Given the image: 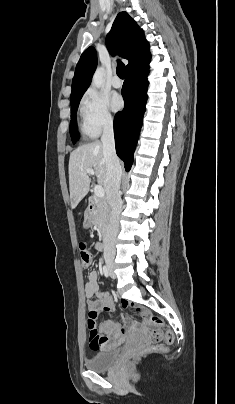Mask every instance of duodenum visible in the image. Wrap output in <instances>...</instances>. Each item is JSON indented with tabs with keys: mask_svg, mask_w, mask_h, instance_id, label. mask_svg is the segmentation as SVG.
Returning a JSON list of instances; mask_svg holds the SVG:
<instances>
[{
	"mask_svg": "<svg viewBox=\"0 0 235 404\" xmlns=\"http://www.w3.org/2000/svg\"><path fill=\"white\" fill-rule=\"evenodd\" d=\"M94 209H95V199L94 198H90L89 202H88V206H87V210H86V214L88 216H91L94 213ZM106 241V238H104V242Z\"/></svg>",
	"mask_w": 235,
	"mask_h": 404,
	"instance_id": "obj_1",
	"label": "duodenum"
}]
</instances>
